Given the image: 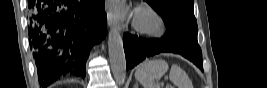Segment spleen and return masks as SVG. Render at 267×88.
I'll list each match as a JSON object with an SVG mask.
<instances>
[{
    "instance_id": "obj_1",
    "label": "spleen",
    "mask_w": 267,
    "mask_h": 88,
    "mask_svg": "<svg viewBox=\"0 0 267 88\" xmlns=\"http://www.w3.org/2000/svg\"><path fill=\"white\" fill-rule=\"evenodd\" d=\"M168 69V63L162 59L147 60L137 68L135 78L143 88H160L155 80L165 75ZM165 79H169L178 88H188L189 78L178 65L171 66L169 76Z\"/></svg>"
}]
</instances>
